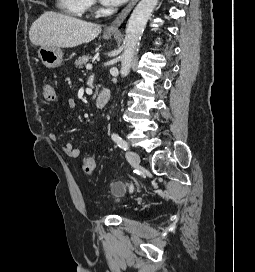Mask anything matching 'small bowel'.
<instances>
[{"mask_svg": "<svg viewBox=\"0 0 255 272\" xmlns=\"http://www.w3.org/2000/svg\"><path fill=\"white\" fill-rule=\"evenodd\" d=\"M68 107L71 110H75L76 109V103L74 101H69L68 102ZM49 138L51 141H57L58 140V136L56 133H50L49 134ZM62 149L64 151V153L66 154L67 157L71 158V159H75L78 158L81 154V151L79 148H77L74 144L67 142L62 146Z\"/></svg>", "mask_w": 255, "mask_h": 272, "instance_id": "1", "label": "small bowel"}]
</instances>
